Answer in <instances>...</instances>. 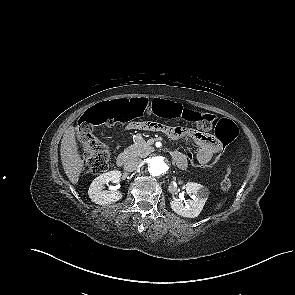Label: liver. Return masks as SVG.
<instances>
[{"label":"liver","instance_id":"1","mask_svg":"<svg viewBox=\"0 0 295 295\" xmlns=\"http://www.w3.org/2000/svg\"><path fill=\"white\" fill-rule=\"evenodd\" d=\"M61 161L64 171L73 184H77L83 170V160L78 151L74 128H69L61 141Z\"/></svg>","mask_w":295,"mask_h":295}]
</instances>
